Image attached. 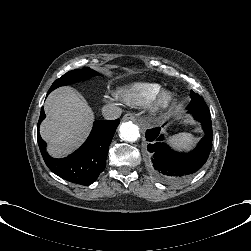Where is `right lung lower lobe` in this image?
Returning <instances> with one entry per match:
<instances>
[{
    "label": "right lung lower lobe",
    "mask_w": 251,
    "mask_h": 251,
    "mask_svg": "<svg viewBox=\"0 0 251 251\" xmlns=\"http://www.w3.org/2000/svg\"><path fill=\"white\" fill-rule=\"evenodd\" d=\"M45 117L42 107L37 126V140L48 168L67 181L80 185L92 184L105 168L108 147L120 120L95 121L91 134L77 151L65 158L56 159L46 152V143L39 133V125Z\"/></svg>",
    "instance_id": "1"
}]
</instances>
